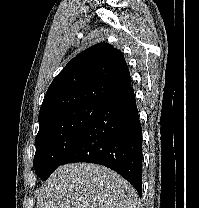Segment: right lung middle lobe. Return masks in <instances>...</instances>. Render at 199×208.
Returning a JSON list of instances; mask_svg holds the SVG:
<instances>
[{"label": "right lung middle lobe", "instance_id": "obj_1", "mask_svg": "<svg viewBox=\"0 0 199 208\" xmlns=\"http://www.w3.org/2000/svg\"><path fill=\"white\" fill-rule=\"evenodd\" d=\"M99 106H82L59 112L39 123L33 166L45 180L77 144Z\"/></svg>", "mask_w": 199, "mask_h": 208}]
</instances>
